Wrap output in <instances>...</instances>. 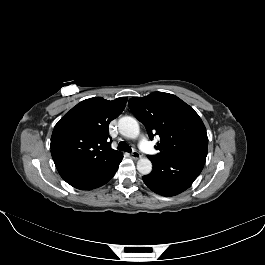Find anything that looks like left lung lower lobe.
I'll return each instance as SVG.
<instances>
[{
	"label": "left lung lower lobe",
	"instance_id": "1",
	"mask_svg": "<svg viewBox=\"0 0 265 265\" xmlns=\"http://www.w3.org/2000/svg\"><path fill=\"white\" fill-rule=\"evenodd\" d=\"M207 149L192 150L167 157L148 156L153 171L143 177L144 183L155 193L174 196L188 189L201 173Z\"/></svg>",
	"mask_w": 265,
	"mask_h": 265
}]
</instances>
